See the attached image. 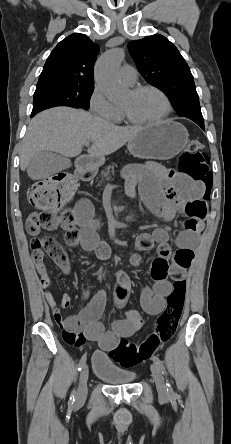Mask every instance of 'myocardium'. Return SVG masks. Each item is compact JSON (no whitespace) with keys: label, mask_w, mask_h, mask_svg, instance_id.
<instances>
[{"label":"myocardium","mask_w":231,"mask_h":444,"mask_svg":"<svg viewBox=\"0 0 231 444\" xmlns=\"http://www.w3.org/2000/svg\"><path fill=\"white\" fill-rule=\"evenodd\" d=\"M144 91H154L157 94H159L162 99L165 102V106L166 109L164 111V113L153 120H145V121H139L134 119L129 113L128 111H126L124 108L121 107V112L123 114V117L126 119L127 122L134 124V125H154V124H159L163 121H165L172 113L173 110V106H172V102L170 100V98L168 97V95L159 87H156L154 85H141V86H137L131 89V93L134 95H137L139 93H142Z\"/></svg>","instance_id":"myocardium-1"}]
</instances>
